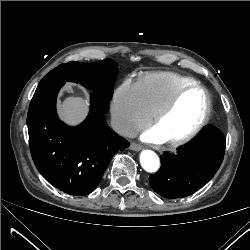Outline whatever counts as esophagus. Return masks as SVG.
I'll list each match as a JSON object with an SVG mask.
<instances>
[{
    "label": "esophagus",
    "mask_w": 250,
    "mask_h": 250,
    "mask_svg": "<svg viewBox=\"0 0 250 250\" xmlns=\"http://www.w3.org/2000/svg\"><path fill=\"white\" fill-rule=\"evenodd\" d=\"M129 149L133 151H140L142 149V146L137 143H131Z\"/></svg>",
    "instance_id": "obj_1"
}]
</instances>
